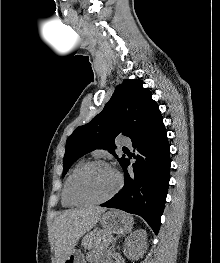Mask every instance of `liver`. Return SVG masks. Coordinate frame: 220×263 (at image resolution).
I'll use <instances>...</instances> for the list:
<instances>
[{"instance_id": "liver-1", "label": "liver", "mask_w": 220, "mask_h": 263, "mask_svg": "<svg viewBox=\"0 0 220 263\" xmlns=\"http://www.w3.org/2000/svg\"><path fill=\"white\" fill-rule=\"evenodd\" d=\"M106 208L89 206L61 212L54 220L56 263H64L79 239L99 221Z\"/></svg>"}]
</instances>
